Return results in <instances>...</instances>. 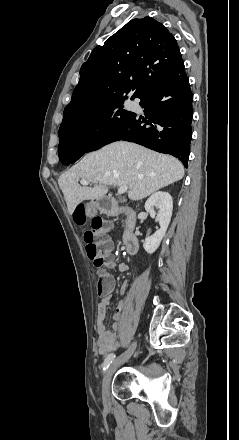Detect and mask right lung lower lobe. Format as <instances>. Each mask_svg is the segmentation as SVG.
<instances>
[{"label":"right lung lower lobe","mask_w":239,"mask_h":440,"mask_svg":"<svg viewBox=\"0 0 239 440\" xmlns=\"http://www.w3.org/2000/svg\"><path fill=\"white\" fill-rule=\"evenodd\" d=\"M137 98L141 99L140 105L145 108L146 118L133 113L127 121L101 134L88 146L63 147L58 150L60 161L69 165L86 152L113 141L126 140L171 154L187 168L192 138L193 95L183 60Z\"/></svg>","instance_id":"1"}]
</instances>
